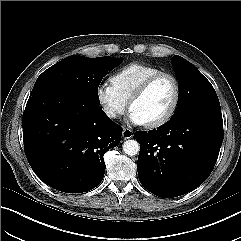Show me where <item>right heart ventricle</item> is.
Segmentation results:
<instances>
[{
  "label": "right heart ventricle",
  "mask_w": 241,
  "mask_h": 241,
  "mask_svg": "<svg viewBox=\"0 0 241 241\" xmlns=\"http://www.w3.org/2000/svg\"><path fill=\"white\" fill-rule=\"evenodd\" d=\"M161 72L155 66L144 63H131L116 71L111 77V84L128 102L137 88L150 76Z\"/></svg>",
  "instance_id": "right-heart-ventricle-1"
}]
</instances>
